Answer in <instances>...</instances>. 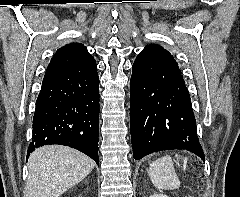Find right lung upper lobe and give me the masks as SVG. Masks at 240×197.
Listing matches in <instances>:
<instances>
[{"instance_id": "obj_1", "label": "right lung upper lobe", "mask_w": 240, "mask_h": 197, "mask_svg": "<svg viewBox=\"0 0 240 197\" xmlns=\"http://www.w3.org/2000/svg\"><path fill=\"white\" fill-rule=\"evenodd\" d=\"M96 66L94 58L80 43H69L54 54L45 75L78 72Z\"/></svg>"}]
</instances>
